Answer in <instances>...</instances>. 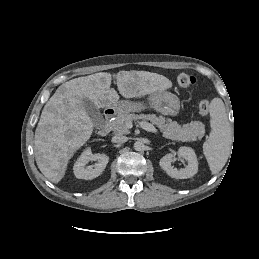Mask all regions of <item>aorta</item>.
I'll return each mask as SVG.
<instances>
[{
	"label": "aorta",
	"mask_w": 259,
	"mask_h": 259,
	"mask_svg": "<svg viewBox=\"0 0 259 259\" xmlns=\"http://www.w3.org/2000/svg\"><path fill=\"white\" fill-rule=\"evenodd\" d=\"M144 148H145V145L142 142L137 141V142L134 143V149L136 151H143Z\"/></svg>",
	"instance_id": "762f6f07"
}]
</instances>
